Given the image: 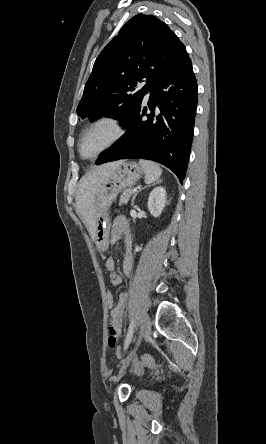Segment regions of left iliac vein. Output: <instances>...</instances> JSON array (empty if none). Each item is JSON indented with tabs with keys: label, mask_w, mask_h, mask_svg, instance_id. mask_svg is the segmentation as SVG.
Masks as SVG:
<instances>
[{
	"label": "left iliac vein",
	"mask_w": 266,
	"mask_h": 444,
	"mask_svg": "<svg viewBox=\"0 0 266 444\" xmlns=\"http://www.w3.org/2000/svg\"><path fill=\"white\" fill-rule=\"evenodd\" d=\"M150 328H151L150 318L146 313H143L142 318H141L139 338H138L134 348L130 351V353L128 354L126 359L123 361L120 371L118 372L117 376L114 378L115 383H117L120 380V378L124 375L126 368L128 367L132 358L136 354V351L138 349V346L141 343V340L150 333Z\"/></svg>",
	"instance_id": "left-iliac-vein-1"
}]
</instances>
